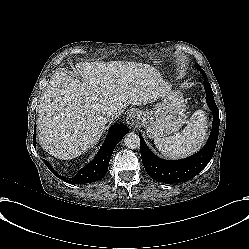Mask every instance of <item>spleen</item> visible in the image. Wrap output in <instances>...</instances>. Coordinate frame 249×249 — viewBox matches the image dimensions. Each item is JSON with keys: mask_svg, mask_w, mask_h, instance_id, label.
Instances as JSON below:
<instances>
[{"mask_svg": "<svg viewBox=\"0 0 249 249\" xmlns=\"http://www.w3.org/2000/svg\"><path fill=\"white\" fill-rule=\"evenodd\" d=\"M207 118L202 110H197L189 119L187 126L178 134L154 138V144L169 159H180L196 152L207 136Z\"/></svg>", "mask_w": 249, "mask_h": 249, "instance_id": "obj_1", "label": "spleen"}]
</instances>
